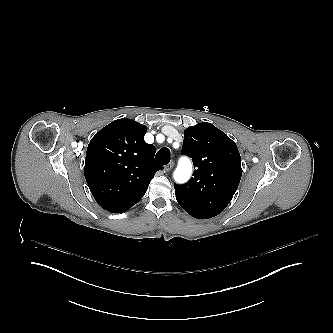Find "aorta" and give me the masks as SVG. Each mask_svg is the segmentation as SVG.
Wrapping results in <instances>:
<instances>
[{
  "instance_id": "obj_1",
  "label": "aorta",
  "mask_w": 333,
  "mask_h": 333,
  "mask_svg": "<svg viewBox=\"0 0 333 333\" xmlns=\"http://www.w3.org/2000/svg\"><path fill=\"white\" fill-rule=\"evenodd\" d=\"M191 175V165L186 162L184 166H178L174 172V178L178 183L186 182Z\"/></svg>"
}]
</instances>
